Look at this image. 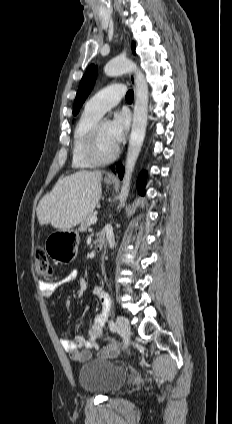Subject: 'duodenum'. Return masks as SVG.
Instances as JSON below:
<instances>
[{
    "label": "duodenum",
    "mask_w": 232,
    "mask_h": 424,
    "mask_svg": "<svg viewBox=\"0 0 232 424\" xmlns=\"http://www.w3.org/2000/svg\"><path fill=\"white\" fill-rule=\"evenodd\" d=\"M105 243V235L103 233L98 234L95 240V249L97 251L101 250Z\"/></svg>",
    "instance_id": "1"
}]
</instances>
